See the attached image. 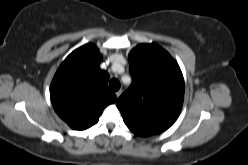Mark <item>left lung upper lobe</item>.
<instances>
[{
  "label": "left lung upper lobe",
  "instance_id": "obj_1",
  "mask_svg": "<svg viewBox=\"0 0 248 165\" xmlns=\"http://www.w3.org/2000/svg\"><path fill=\"white\" fill-rule=\"evenodd\" d=\"M131 87L117 100L128 128L148 135L173 125L184 100V79L177 62L159 45L140 44L128 57Z\"/></svg>",
  "mask_w": 248,
  "mask_h": 165
}]
</instances>
